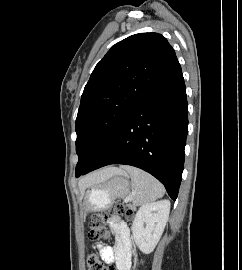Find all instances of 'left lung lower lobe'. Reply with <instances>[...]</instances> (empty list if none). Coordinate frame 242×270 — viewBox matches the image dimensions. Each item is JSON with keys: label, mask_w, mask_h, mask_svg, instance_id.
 <instances>
[{"label": "left lung lower lobe", "mask_w": 242, "mask_h": 270, "mask_svg": "<svg viewBox=\"0 0 242 270\" xmlns=\"http://www.w3.org/2000/svg\"><path fill=\"white\" fill-rule=\"evenodd\" d=\"M187 126L186 88L176 60L82 174L110 164L132 165L156 177L176 200L184 169Z\"/></svg>", "instance_id": "left-lung-lower-lobe-1"}]
</instances>
